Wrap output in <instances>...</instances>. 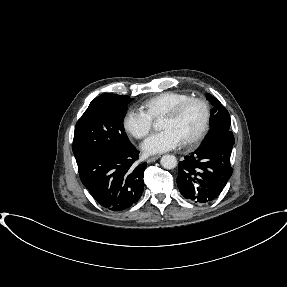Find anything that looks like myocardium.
I'll use <instances>...</instances> for the list:
<instances>
[{
  "label": "myocardium",
  "mask_w": 287,
  "mask_h": 287,
  "mask_svg": "<svg viewBox=\"0 0 287 287\" xmlns=\"http://www.w3.org/2000/svg\"><path fill=\"white\" fill-rule=\"evenodd\" d=\"M190 103H196L201 107L202 119L197 131L187 140L183 141L185 146H193L199 143L205 136L210 123V107L206 100L200 97L188 96L169 109L163 117L176 118L182 110Z\"/></svg>",
  "instance_id": "myocardium-1"
}]
</instances>
